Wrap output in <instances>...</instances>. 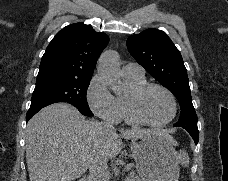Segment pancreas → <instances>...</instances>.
Instances as JSON below:
<instances>
[{"instance_id":"1","label":"pancreas","mask_w":228,"mask_h":181,"mask_svg":"<svg viewBox=\"0 0 228 181\" xmlns=\"http://www.w3.org/2000/svg\"><path fill=\"white\" fill-rule=\"evenodd\" d=\"M127 181H140V179H138L135 171H130L129 179H127Z\"/></svg>"}]
</instances>
